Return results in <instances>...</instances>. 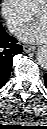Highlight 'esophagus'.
<instances>
[{"mask_svg":"<svg viewBox=\"0 0 47 129\" xmlns=\"http://www.w3.org/2000/svg\"><path fill=\"white\" fill-rule=\"evenodd\" d=\"M23 50L24 52H33L35 50V47L30 45H24Z\"/></svg>","mask_w":47,"mask_h":129,"instance_id":"1","label":"esophagus"}]
</instances>
